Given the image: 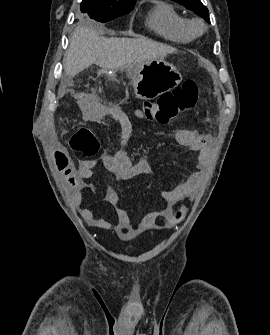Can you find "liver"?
<instances>
[{"instance_id":"liver-1","label":"liver","mask_w":270,"mask_h":335,"mask_svg":"<svg viewBox=\"0 0 270 335\" xmlns=\"http://www.w3.org/2000/svg\"><path fill=\"white\" fill-rule=\"evenodd\" d=\"M173 52L175 48L147 38H103L93 28L83 24L70 38L63 66L66 76L72 78L92 64H97L105 72L127 68L131 78H134L141 66Z\"/></svg>"}]
</instances>
